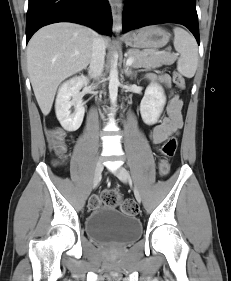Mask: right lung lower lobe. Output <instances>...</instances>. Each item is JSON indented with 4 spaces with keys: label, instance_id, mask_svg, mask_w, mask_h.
I'll list each match as a JSON object with an SVG mask.
<instances>
[{
    "label": "right lung lower lobe",
    "instance_id": "98d812e1",
    "mask_svg": "<svg viewBox=\"0 0 231 281\" xmlns=\"http://www.w3.org/2000/svg\"><path fill=\"white\" fill-rule=\"evenodd\" d=\"M56 22L79 23L101 34H112L108 0H29L26 42L39 28Z\"/></svg>",
    "mask_w": 231,
    "mask_h": 281
}]
</instances>
